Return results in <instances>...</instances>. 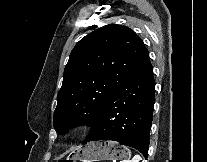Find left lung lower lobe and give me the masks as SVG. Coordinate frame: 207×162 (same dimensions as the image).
<instances>
[{"label": "left lung lower lobe", "mask_w": 207, "mask_h": 162, "mask_svg": "<svg viewBox=\"0 0 207 162\" xmlns=\"http://www.w3.org/2000/svg\"><path fill=\"white\" fill-rule=\"evenodd\" d=\"M154 92L153 68L147 54L109 97L83 143L117 141L137 149L147 158Z\"/></svg>", "instance_id": "left-lung-lower-lobe-1"}]
</instances>
